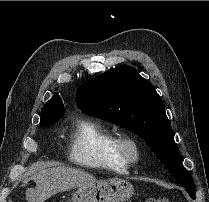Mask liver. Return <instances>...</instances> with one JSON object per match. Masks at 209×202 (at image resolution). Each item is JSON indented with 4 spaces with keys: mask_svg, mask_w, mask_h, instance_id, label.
Returning a JSON list of instances; mask_svg holds the SVG:
<instances>
[{
    "mask_svg": "<svg viewBox=\"0 0 209 202\" xmlns=\"http://www.w3.org/2000/svg\"><path fill=\"white\" fill-rule=\"evenodd\" d=\"M38 169H40L38 164L30 167L26 175L31 177H25L23 180V186L30 179L36 183L35 189L29 188L26 191V200L28 202H44L57 193L97 182L93 175L79 169L60 166L40 169L37 172Z\"/></svg>",
    "mask_w": 209,
    "mask_h": 202,
    "instance_id": "obj_1",
    "label": "liver"
}]
</instances>
